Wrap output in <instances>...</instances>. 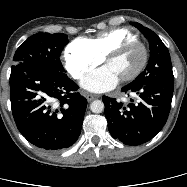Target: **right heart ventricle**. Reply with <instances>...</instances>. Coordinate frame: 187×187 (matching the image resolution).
I'll return each mask as SVG.
<instances>
[{
	"mask_svg": "<svg viewBox=\"0 0 187 187\" xmlns=\"http://www.w3.org/2000/svg\"><path fill=\"white\" fill-rule=\"evenodd\" d=\"M138 36L125 28L111 29L108 31L101 32L96 36L86 39L92 49L102 58L113 48L119 44L129 41L136 40Z\"/></svg>",
	"mask_w": 187,
	"mask_h": 187,
	"instance_id": "obj_1",
	"label": "right heart ventricle"
}]
</instances>
